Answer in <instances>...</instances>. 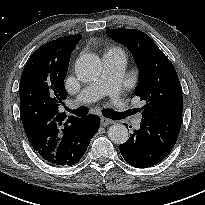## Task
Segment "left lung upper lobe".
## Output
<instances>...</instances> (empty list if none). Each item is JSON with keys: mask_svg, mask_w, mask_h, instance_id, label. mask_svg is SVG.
Listing matches in <instances>:
<instances>
[{"mask_svg": "<svg viewBox=\"0 0 205 205\" xmlns=\"http://www.w3.org/2000/svg\"><path fill=\"white\" fill-rule=\"evenodd\" d=\"M110 37L125 45L132 53L139 69V83L135 95L146 104L143 119L182 115V88L171 61L158 46L137 29H108Z\"/></svg>", "mask_w": 205, "mask_h": 205, "instance_id": "1", "label": "left lung upper lobe"}]
</instances>
